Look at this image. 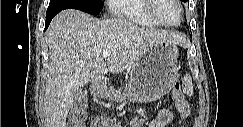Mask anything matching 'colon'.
Segmentation results:
<instances>
[{
  "label": "colon",
  "mask_w": 243,
  "mask_h": 127,
  "mask_svg": "<svg viewBox=\"0 0 243 127\" xmlns=\"http://www.w3.org/2000/svg\"><path fill=\"white\" fill-rule=\"evenodd\" d=\"M173 96L175 100L184 101V97L180 91V85L177 83L174 85ZM86 119V105L80 104L76 106L71 113L69 126L70 127H84Z\"/></svg>",
  "instance_id": "1"
}]
</instances>
